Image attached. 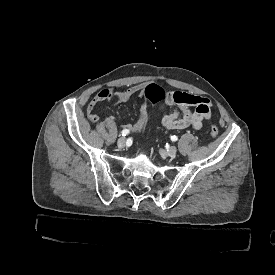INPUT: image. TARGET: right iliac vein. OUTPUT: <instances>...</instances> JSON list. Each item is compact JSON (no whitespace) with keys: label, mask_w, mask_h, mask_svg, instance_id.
I'll use <instances>...</instances> for the list:
<instances>
[{"label":"right iliac vein","mask_w":275,"mask_h":275,"mask_svg":"<svg viewBox=\"0 0 275 275\" xmlns=\"http://www.w3.org/2000/svg\"><path fill=\"white\" fill-rule=\"evenodd\" d=\"M126 144H127V140L125 137H121L117 141L118 148H124L126 146Z\"/></svg>","instance_id":"right-iliac-vein-1"}]
</instances>
